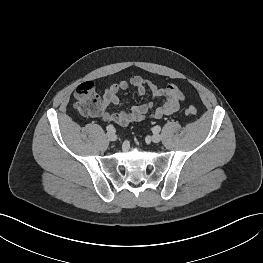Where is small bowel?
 <instances>
[{
	"mask_svg": "<svg viewBox=\"0 0 263 263\" xmlns=\"http://www.w3.org/2000/svg\"><path fill=\"white\" fill-rule=\"evenodd\" d=\"M130 88L135 89L139 95H144L150 91L154 99H162L163 102L156 108L150 102L134 105L127 111L111 112V106L123 104L119 93ZM183 99V93L175 85L170 84L161 87L141 76H133L129 80L110 82L106 86L102 98L98 101L97 110L91 115L109 123L127 126L133 122L143 121L147 116L153 119H161L163 116L171 115L179 110Z\"/></svg>",
	"mask_w": 263,
	"mask_h": 263,
	"instance_id": "1",
	"label": "small bowel"
}]
</instances>
